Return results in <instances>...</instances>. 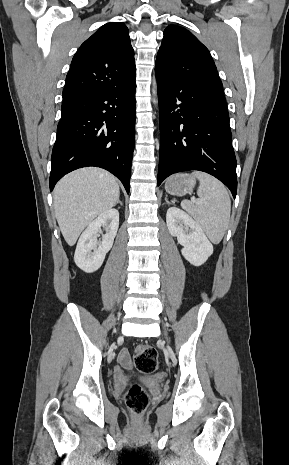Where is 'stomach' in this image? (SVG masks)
I'll return each mask as SVG.
<instances>
[{"label": "stomach", "mask_w": 289, "mask_h": 465, "mask_svg": "<svg viewBox=\"0 0 289 465\" xmlns=\"http://www.w3.org/2000/svg\"><path fill=\"white\" fill-rule=\"evenodd\" d=\"M196 184L194 176L188 173L176 174L165 183L166 191L171 195L183 196L191 193Z\"/></svg>", "instance_id": "0dacf381"}]
</instances>
